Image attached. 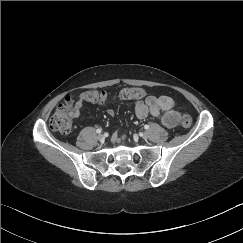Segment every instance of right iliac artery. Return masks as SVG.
<instances>
[{"label":"right iliac artery","instance_id":"82829eb1","mask_svg":"<svg viewBox=\"0 0 243 243\" xmlns=\"http://www.w3.org/2000/svg\"><path fill=\"white\" fill-rule=\"evenodd\" d=\"M96 133L100 134L101 133V129H97Z\"/></svg>","mask_w":243,"mask_h":243}]
</instances>
